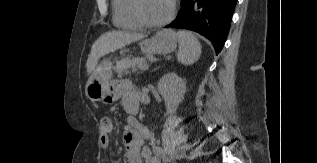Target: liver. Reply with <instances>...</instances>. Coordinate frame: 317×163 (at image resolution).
<instances>
[{"label": "liver", "instance_id": "6515ba94", "mask_svg": "<svg viewBox=\"0 0 317 163\" xmlns=\"http://www.w3.org/2000/svg\"><path fill=\"white\" fill-rule=\"evenodd\" d=\"M145 36L125 31H111L101 35L92 45L91 52L88 56L86 68L87 74H91L99 61V59L111 52L139 41Z\"/></svg>", "mask_w": 317, "mask_h": 163}]
</instances>
